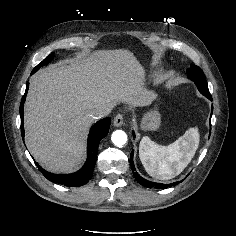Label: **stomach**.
<instances>
[{"instance_id":"1","label":"stomach","mask_w":236,"mask_h":236,"mask_svg":"<svg viewBox=\"0 0 236 236\" xmlns=\"http://www.w3.org/2000/svg\"><path fill=\"white\" fill-rule=\"evenodd\" d=\"M156 99V97H154ZM161 125V115L157 109L151 110L143 115L140 128L144 131H155Z\"/></svg>"}]
</instances>
